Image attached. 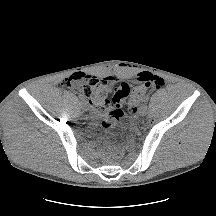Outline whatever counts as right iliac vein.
I'll return each instance as SVG.
<instances>
[{"label":"right iliac vein","instance_id":"obj_1","mask_svg":"<svg viewBox=\"0 0 216 216\" xmlns=\"http://www.w3.org/2000/svg\"><path fill=\"white\" fill-rule=\"evenodd\" d=\"M80 108H82V112H87V107H85V103L83 105H80Z\"/></svg>","mask_w":216,"mask_h":216}]
</instances>
